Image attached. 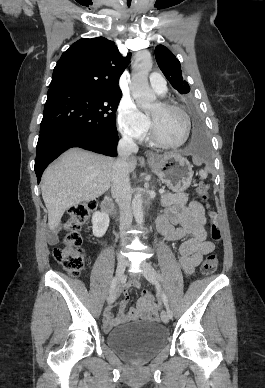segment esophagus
<instances>
[{
	"label": "esophagus",
	"instance_id": "34e87169",
	"mask_svg": "<svg viewBox=\"0 0 265 388\" xmlns=\"http://www.w3.org/2000/svg\"><path fill=\"white\" fill-rule=\"evenodd\" d=\"M153 156H154V154H152V153H149V154H148V157H149V158H151V157H153Z\"/></svg>",
	"mask_w": 265,
	"mask_h": 388
}]
</instances>
